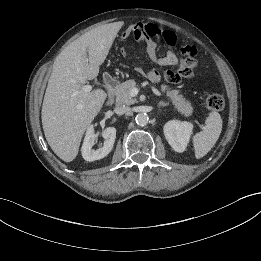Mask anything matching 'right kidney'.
<instances>
[{
  "instance_id": "obj_1",
  "label": "right kidney",
  "mask_w": 261,
  "mask_h": 261,
  "mask_svg": "<svg viewBox=\"0 0 261 261\" xmlns=\"http://www.w3.org/2000/svg\"><path fill=\"white\" fill-rule=\"evenodd\" d=\"M101 135L105 139L104 145L95 150L92 147L98 134L94 133L93 125L88 127L81 148L82 157L84 158V160L89 162L100 160L111 152L116 138V129L114 127H108L104 131H102Z\"/></svg>"
}]
</instances>
